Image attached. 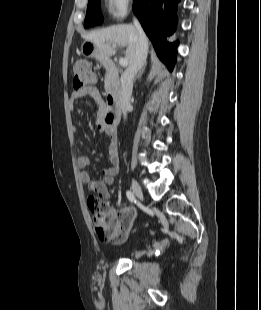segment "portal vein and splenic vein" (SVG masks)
<instances>
[{
  "label": "portal vein and splenic vein",
  "instance_id": "obj_1",
  "mask_svg": "<svg viewBox=\"0 0 261 310\" xmlns=\"http://www.w3.org/2000/svg\"><path fill=\"white\" fill-rule=\"evenodd\" d=\"M113 48H116L117 46L115 44L112 45ZM128 60L125 58H120L119 59V64L123 67H126L128 65Z\"/></svg>",
  "mask_w": 261,
  "mask_h": 310
}]
</instances>
